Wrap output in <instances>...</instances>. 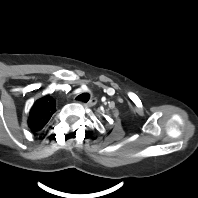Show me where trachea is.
Here are the masks:
<instances>
[{
	"instance_id": "obj_1",
	"label": "trachea",
	"mask_w": 198,
	"mask_h": 198,
	"mask_svg": "<svg viewBox=\"0 0 198 198\" xmlns=\"http://www.w3.org/2000/svg\"><path fill=\"white\" fill-rule=\"evenodd\" d=\"M89 99H90V95L88 93H82V94L78 95L75 100L82 101V102L86 103L89 101Z\"/></svg>"
}]
</instances>
